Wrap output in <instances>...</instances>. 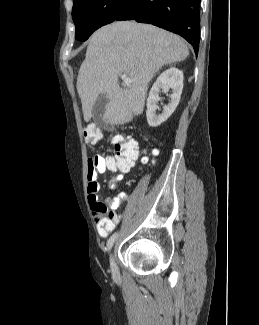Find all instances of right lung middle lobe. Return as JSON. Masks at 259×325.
Instances as JSON below:
<instances>
[{"instance_id":"1","label":"right lung middle lobe","mask_w":259,"mask_h":325,"mask_svg":"<svg viewBox=\"0 0 259 325\" xmlns=\"http://www.w3.org/2000/svg\"><path fill=\"white\" fill-rule=\"evenodd\" d=\"M127 0H73L75 38L85 41L98 28L114 21Z\"/></svg>"}]
</instances>
